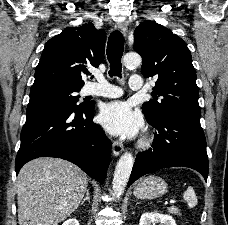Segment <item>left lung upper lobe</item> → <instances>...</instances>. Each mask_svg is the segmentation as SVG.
<instances>
[{
	"instance_id": "obj_1",
	"label": "left lung upper lobe",
	"mask_w": 228,
	"mask_h": 225,
	"mask_svg": "<svg viewBox=\"0 0 228 225\" xmlns=\"http://www.w3.org/2000/svg\"><path fill=\"white\" fill-rule=\"evenodd\" d=\"M134 50L143 60L145 77L155 76L153 96H163L142 105L147 121L155 122L167 113H186L200 116L196 72L186 43L171 30L147 20L134 32Z\"/></svg>"
}]
</instances>
